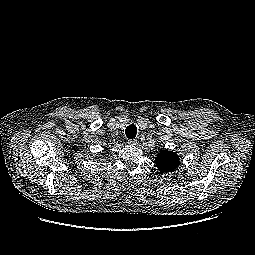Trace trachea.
Returning a JSON list of instances; mask_svg holds the SVG:
<instances>
[{
	"instance_id": "1",
	"label": "trachea",
	"mask_w": 255,
	"mask_h": 255,
	"mask_svg": "<svg viewBox=\"0 0 255 255\" xmlns=\"http://www.w3.org/2000/svg\"><path fill=\"white\" fill-rule=\"evenodd\" d=\"M125 134L128 139H134L137 134V127L134 124L129 125L125 130Z\"/></svg>"
}]
</instances>
